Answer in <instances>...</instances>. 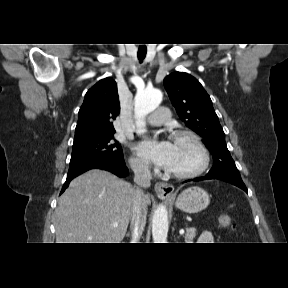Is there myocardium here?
Instances as JSON below:
<instances>
[{"mask_svg": "<svg viewBox=\"0 0 288 288\" xmlns=\"http://www.w3.org/2000/svg\"><path fill=\"white\" fill-rule=\"evenodd\" d=\"M172 136L174 139L186 140L190 142L197 149L200 155V163L195 168L187 171L166 170V173L176 178H193L202 174L209 165L210 155L201 138L190 130H177L173 132Z\"/></svg>", "mask_w": 288, "mask_h": 288, "instance_id": "obj_1", "label": "myocardium"}]
</instances>
